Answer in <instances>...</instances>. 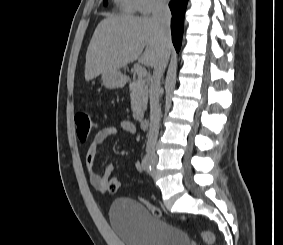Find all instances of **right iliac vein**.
Here are the masks:
<instances>
[{"mask_svg":"<svg viewBox=\"0 0 283 245\" xmlns=\"http://www.w3.org/2000/svg\"><path fill=\"white\" fill-rule=\"evenodd\" d=\"M152 164L154 163V160L152 159V158H150V160H149Z\"/></svg>","mask_w":283,"mask_h":245,"instance_id":"63e3f726","label":"right iliac vein"}]
</instances>
